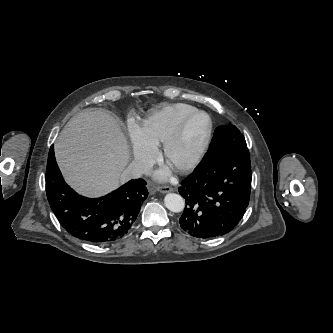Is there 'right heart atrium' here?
Segmentation results:
<instances>
[{
	"mask_svg": "<svg viewBox=\"0 0 333 333\" xmlns=\"http://www.w3.org/2000/svg\"><path fill=\"white\" fill-rule=\"evenodd\" d=\"M127 128L134 163L137 167L146 169L156 158V147L147 141L143 134L142 127L135 121H129Z\"/></svg>",
	"mask_w": 333,
	"mask_h": 333,
	"instance_id": "d8ad5b80",
	"label": "right heart atrium"
}]
</instances>
